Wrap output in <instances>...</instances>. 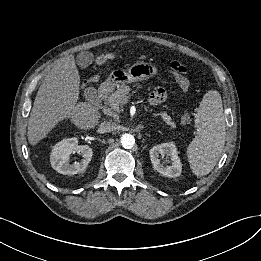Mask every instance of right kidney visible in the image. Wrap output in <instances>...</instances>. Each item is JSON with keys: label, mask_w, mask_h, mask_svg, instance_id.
Here are the masks:
<instances>
[{"label": "right kidney", "mask_w": 261, "mask_h": 261, "mask_svg": "<svg viewBox=\"0 0 261 261\" xmlns=\"http://www.w3.org/2000/svg\"><path fill=\"white\" fill-rule=\"evenodd\" d=\"M81 153L83 159L80 162L69 164V157L72 153ZM93 151L88 145H78L77 138H67L53 146L50 161L54 170L64 175H74L83 172L91 158Z\"/></svg>", "instance_id": "ca27d5eb"}]
</instances>
